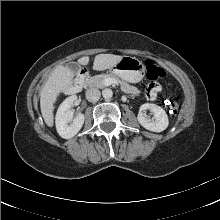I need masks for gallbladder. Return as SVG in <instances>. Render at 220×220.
<instances>
[{
  "mask_svg": "<svg viewBox=\"0 0 220 220\" xmlns=\"http://www.w3.org/2000/svg\"><path fill=\"white\" fill-rule=\"evenodd\" d=\"M69 67H70V69H71L74 73H77V72L79 71V69H80V66H79V64H77V63H71V64L69 65Z\"/></svg>",
  "mask_w": 220,
  "mask_h": 220,
  "instance_id": "gallbladder-1",
  "label": "gallbladder"
}]
</instances>
